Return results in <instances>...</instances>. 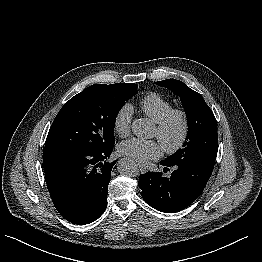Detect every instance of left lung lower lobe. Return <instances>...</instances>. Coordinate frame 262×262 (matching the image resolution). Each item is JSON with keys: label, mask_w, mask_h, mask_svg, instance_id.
<instances>
[{"label": "left lung lower lobe", "mask_w": 262, "mask_h": 262, "mask_svg": "<svg viewBox=\"0 0 262 262\" xmlns=\"http://www.w3.org/2000/svg\"><path fill=\"white\" fill-rule=\"evenodd\" d=\"M174 171L169 177H163L159 172H147L139 176L141 196L153 208L175 213L188 207L205 188L214 168V162L178 161L170 163L161 161Z\"/></svg>", "instance_id": "1"}]
</instances>
